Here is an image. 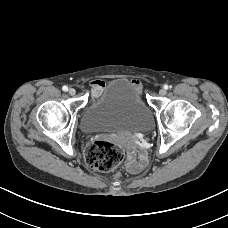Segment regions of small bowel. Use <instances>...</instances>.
Listing matches in <instances>:
<instances>
[{"mask_svg":"<svg viewBox=\"0 0 228 228\" xmlns=\"http://www.w3.org/2000/svg\"><path fill=\"white\" fill-rule=\"evenodd\" d=\"M138 88H140L139 81H133ZM93 92L96 94L104 87V82L101 80H94L92 83ZM148 164V157L145 151L137 150L135 148H129L127 153V160H126V169L133 174L140 173L143 171Z\"/></svg>","mask_w":228,"mask_h":228,"instance_id":"c3829d8e","label":"small bowel"}]
</instances>
